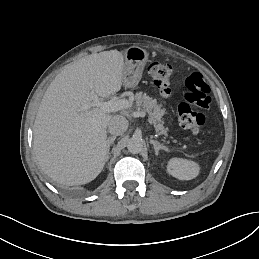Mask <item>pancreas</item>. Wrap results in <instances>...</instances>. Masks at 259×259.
I'll return each mask as SVG.
<instances>
[{
  "label": "pancreas",
  "instance_id": "1",
  "mask_svg": "<svg viewBox=\"0 0 259 259\" xmlns=\"http://www.w3.org/2000/svg\"><path fill=\"white\" fill-rule=\"evenodd\" d=\"M135 99L136 106L142 107L143 111L148 113V121L154 125L156 131L160 134H166L168 129L164 127V121L162 120L166 109H161L162 105H158L156 99H152L142 92L136 93Z\"/></svg>",
  "mask_w": 259,
  "mask_h": 259
}]
</instances>
